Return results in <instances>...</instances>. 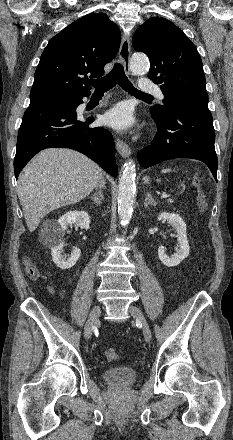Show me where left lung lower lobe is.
Wrapping results in <instances>:
<instances>
[{"label":"left lung lower lobe","mask_w":233,"mask_h":440,"mask_svg":"<svg viewBox=\"0 0 233 440\" xmlns=\"http://www.w3.org/2000/svg\"><path fill=\"white\" fill-rule=\"evenodd\" d=\"M150 112L158 131L152 145L139 154L141 167L173 158H192L203 161L217 180L215 131L208 105L186 101L171 105L164 116Z\"/></svg>","instance_id":"1"}]
</instances>
